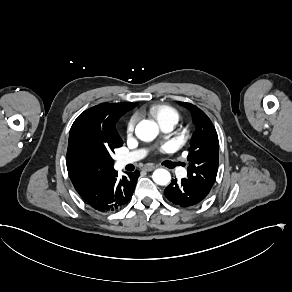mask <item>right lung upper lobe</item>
Here are the masks:
<instances>
[{"mask_svg":"<svg viewBox=\"0 0 292 292\" xmlns=\"http://www.w3.org/2000/svg\"><path fill=\"white\" fill-rule=\"evenodd\" d=\"M138 103H103L91 107L81 113L74 121L69 137L75 134L105 139L110 142L122 141L118 135L115 123L122 115L136 107ZM114 171L113 166L104 167L92 172L84 168H68L73 174H106Z\"/></svg>","mask_w":292,"mask_h":292,"instance_id":"1","label":"right lung upper lobe"}]
</instances>
